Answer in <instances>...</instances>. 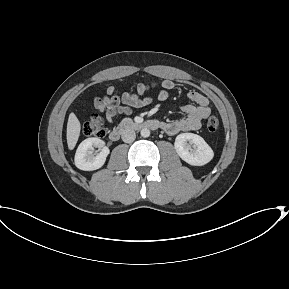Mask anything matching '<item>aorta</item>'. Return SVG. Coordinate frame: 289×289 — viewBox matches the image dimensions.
<instances>
[{
	"instance_id": "aorta-1",
	"label": "aorta",
	"mask_w": 289,
	"mask_h": 289,
	"mask_svg": "<svg viewBox=\"0 0 289 289\" xmlns=\"http://www.w3.org/2000/svg\"><path fill=\"white\" fill-rule=\"evenodd\" d=\"M140 134L142 137L147 138L150 136V130L148 128H143Z\"/></svg>"
}]
</instances>
